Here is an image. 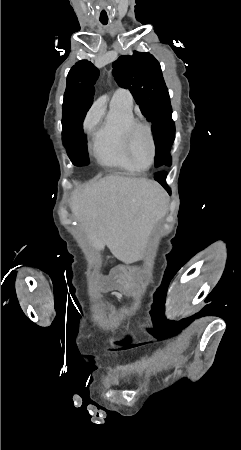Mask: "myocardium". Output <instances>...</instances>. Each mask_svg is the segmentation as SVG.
I'll return each mask as SVG.
<instances>
[{
    "mask_svg": "<svg viewBox=\"0 0 241 450\" xmlns=\"http://www.w3.org/2000/svg\"><path fill=\"white\" fill-rule=\"evenodd\" d=\"M137 121H142V116L136 117ZM136 120L130 121L123 126V136L122 141L125 143L123 152L129 153L128 162H136L137 156L135 155V151L132 148L133 142L135 140H143L141 138L142 133L139 132L137 128L147 127V122H137ZM148 127H153V122H148ZM143 135H149L145 137L144 144H146L147 149H149L150 157H152V162H157V153L156 148H154L151 137H155V132L151 130H144Z\"/></svg>",
    "mask_w": 241,
    "mask_h": 450,
    "instance_id": "myocardium-1",
    "label": "myocardium"
}]
</instances>
